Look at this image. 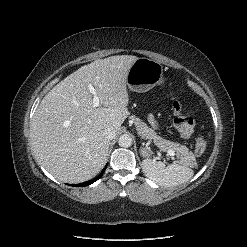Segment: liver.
<instances>
[{
	"instance_id": "6515ba94",
	"label": "liver",
	"mask_w": 247,
	"mask_h": 247,
	"mask_svg": "<svg viewBox=\"0 0 247 247\" xmlns=\"http://www.w3.org/2000/svg\"><path fill=\"white\" fill-rule=\"evenodd\" d=\"M138 59L116 55L97 59L67 76L50 90L35 111L31 142L36 159L61 182L80 183L104 167L110 141L104 130L116 134L129 115L127 75ZM93 86L100 107H93Z\"/></svg>"
}]
</instances>
